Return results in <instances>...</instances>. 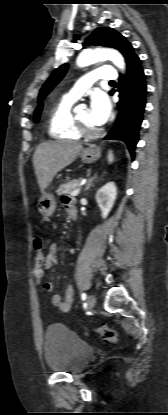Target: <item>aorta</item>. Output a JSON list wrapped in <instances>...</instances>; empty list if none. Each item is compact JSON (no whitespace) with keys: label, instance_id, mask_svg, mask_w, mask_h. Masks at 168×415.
<instances>
[{"label":"aorta","instance_id":"762f6f07","mask_svg":"<svg viewBox=\"0 0 168 415\" xmlns=\"http://www.w3.org/2000/svg\"><path fill=\"white\" fill-rule=\"evenodd\" d=\"M102 60H110L120 70H125L123 56L117 50L111 48L85 50L79 54L76 62L78 67H86Z\"/></svg>","mask_w":168,"mask_h":415}]
</instances>
